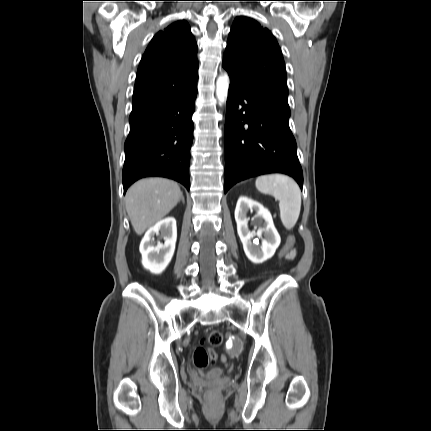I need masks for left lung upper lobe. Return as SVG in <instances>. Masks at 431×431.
Wrapping results in <instances>:
<instances>
[{
  "label": "left lung upper lobe",
  "mask_w": 431,
  "mask_h": 431,
  "mask_svg": "<svg viewBox=\"0 0 431 431\" xmlns=\"http://www.w3.org/2000/svg\"><path fill=\"white\" fill-rule=\"evenodd\" d=\"M222 65L231 81L289 107L280 47L271 32L256 21L245 17L235 19Z\"/></svg>",
  "instance_id": "obj_1"
}]
</instances>
